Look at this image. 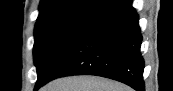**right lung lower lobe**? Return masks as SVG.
I'll list each match as a JSON object with an SVG mask.
<instances>
[{
	"instance_id": "obj_1",
	"label": "right lung lower lobe",
	"mask_w": 173,
	"mask_h": 91,
	"mask_svg": "<svg viewBox=\"0 0 173 91\" xmlns=\"http://www.w3.org/2000/svg\"><path fill=\"white\" fill-rule=\"evenodd\" d=\"M139 17L131 0H118L89 18L53 65L48 81L68 75H97L144 89Z\"/></svg>"
}]
</instances>
